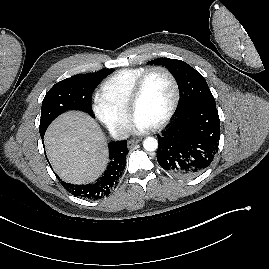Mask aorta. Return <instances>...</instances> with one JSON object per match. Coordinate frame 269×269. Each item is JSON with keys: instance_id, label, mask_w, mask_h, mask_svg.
<instances>
[{"instance_id": "1", "label": "aorta", "mask_w": 269, "mask_h": 269, "mask_svg": "<svg viewBox=\"0 0 269 269\" xmlns=\"http://www.w3.org/2000/svg\"><path fill=\"white\" fill-rule=\"evenodd\" d=\"M143 147L146 151H155L158 148V141L154 137H147L143 141Z\"/></svg>"}]
</instances>
